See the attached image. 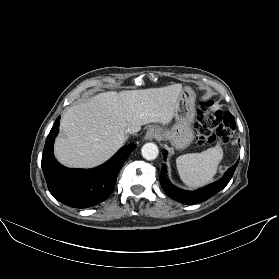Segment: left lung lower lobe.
I'll return each mask as SVG.
<instances>
[{
    "instance_id": "obj_1",
    "label": "left lung lower lobe",
    "mask_w": 279,
    "mask_h": 279,
    "mask_svg": "<svg viewBox=\"0 0 279 279\" xmlns=\"http://www.w3.org/2000/svg\"><path fill=\"white\" fill-rule=\"evenodd\" d=\"M164 155H167V152H164ZM237 164L238 161L230 167L218 181L195 191L182 190L172 185L166 177V166L163 165L160 174V183L163 190L172 199L183 204H198L215 195L229 183Z\"/></svg>"
}]
</instances>
